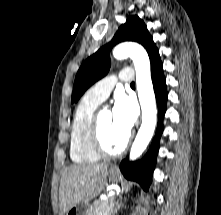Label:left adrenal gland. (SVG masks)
I'll list each match as a JSON object with an SVG mask.
<instances>
[{"label":"left adrenal gland","mask_w":221,"mask_h":215,"mask_svg":"<svg viewBox=\"0 0 221 215\" xmlns=\"http://www.w3.org/2000/svg\"><path fill=\"white\" fill-rule=\"evenodd\" d=\"M121 206H123L122 203H117V204H116V207H115V209H114V214L117 213V211L120 209Z\"/></svg>","instance_id":"1"}]
</instances>
